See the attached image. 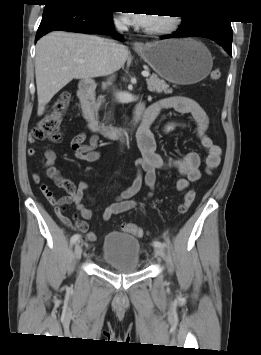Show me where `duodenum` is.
<instances>
[{
  "label": "duodenum",
  "instance_id": "duodenum-1",
  "mask_svg": "<svg viewBox=\"0 0 261 355\" xmlns=\"http://www.w3.org/2000/svg\"><path fill=\"white\" fill-rule=\"evenodd\" d=\"M97 84L92 81L83 82L78 91V97L83 116L87 121L88 127L94 132L104 133L109 137H115L123 133H128L134 129L142 130L150 127V121L142 115V103L138 104L135 111V124L131 129L125 130L118 126L104 125L100 122L95 106V91Z\"/></svg>",
  "mask_w": 261,
  "mask_h": 355
}]
</instances>
